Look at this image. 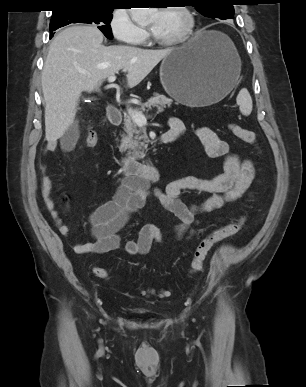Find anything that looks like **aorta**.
Listing matches in <instances>:
<instances>
[{"label": "aorta", "instance_id": "aorta-1", "mask_svg": "<svg viewBox=\"0 0 306 387\" xmlns=\"http://www.w3.org/2000/svg\"><path fill=\"white\" fill-rule=\"evenodd\" d=\"M154 9L153 8H131V18L134 22L138 24H142L147 19L149 16L153 13Z\"/></svg>", "mask_w": 306, "mask_h": 387}]
</instances>
